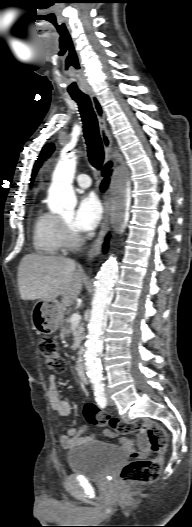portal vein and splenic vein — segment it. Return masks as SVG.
<instances>
[{
	"mask_svg": "<svg viewBox=\"0 0 192 527\" xmlns=\"http://www.w3.org/2000/svg\"><path fill=\"white\" fill-rule=\"evenodd\" d=\"M71 326H77L80 323V315L78 313H73L70 318Z\"/></svg>",
	"mask_w": 192,
	"mask_h": 527,
	"instance_id": "obj_1",
	"label": "portal vein and splenic vein"
}]
</instances>
